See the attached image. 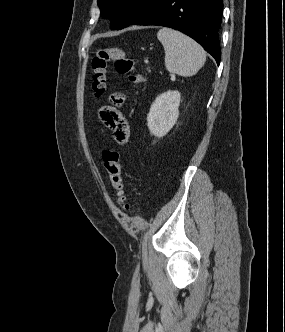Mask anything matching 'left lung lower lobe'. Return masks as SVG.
Masks as SVG:
<instances>
[{
    "instance_id": "1",
    "label": "left lung lower lobe",
    "mask_w": 285,
    "mask_h": 332,
    "mask_svg": "<svg viewBox=\"0 0 285 332\" xmlns=\"http://www.w3.org/2000/svg\"><path fill=\"white\" fill-rule=\"evenodd\" d=\"M223 0H156L135 25L174 28L196 40L220 63L218 30L222 21Z\"/></svg>"
}]
</instances>
